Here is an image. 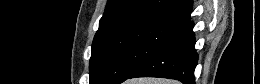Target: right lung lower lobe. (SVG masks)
<instances>
[{"instance_id":"1","label":"right lung lower lobe","mask_w":260,"mask_h":84,"mask_svg":"<svg viewBox=\"0 0 260 84\" xmlns=\"http://www.w3.org/2000/svg\"><path fill=\"white\" fill-rule=\"evenodd\" d=\"M193 21L187 20L128 78L161 77L194 84L198 55L195 51Z\"/></svg>"}]
</instances>
